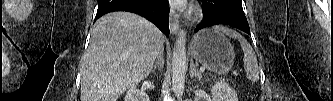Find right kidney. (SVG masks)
I'll return each instance as SVG.
<instances>
[{"mask_svg":"<svg viewBox=\"0 0 333 101\" xmlns=\"http://www.w3.org/2000/svg\"><path fill=\"white\" fill-rule=\"evenodd\" d=\"M125 101H149V97L144 91L136 89V85H134L128 89Z\"/></svg>","mask_w":333,"mask_h":101,"instance_id":"1","label":"right kidney"}]
</instances>
